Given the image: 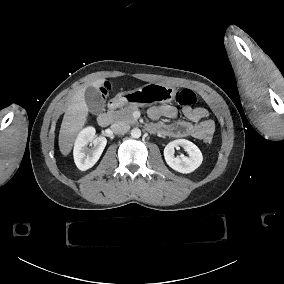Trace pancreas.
<instances>
[{"label":"pancreas","mask_w":284,"mask_h":284,"mask_svg":"<svg viewBox=\"0 0 284 284\" xmlns=\"http://www.w3.org/2000/svg\"><path fill=\"white\" fill-rule=\"evenodd\" d=\"M136 106H128L118 111H109L108 114H111L115 121H122L130 125L138 124L137 119L133 117V113L137 111Z\"/></svg>","instance_id":"pancreas-1"}]
</instances>
